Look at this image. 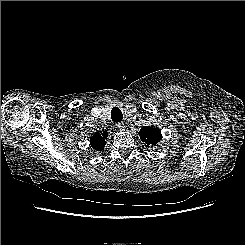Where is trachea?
I'll return each mask as SVG.
<instances>
[{"label": "trachea", "mask_w": 245, "mask_h": 245, "mask_svg": "<svg viewBox=\"0 0 245 245\" xmlns=\"http://www.w3.org/2000/svg\"><path fill=\"white\" fill-rule=\"evenodd\" d=\"M111 119L114 121V122H120L122 121L123 119V114L121 112V110L117 107H114L112 110H111Z\"/></svg>", "instance_id": "obj_1"}]
</instances>
